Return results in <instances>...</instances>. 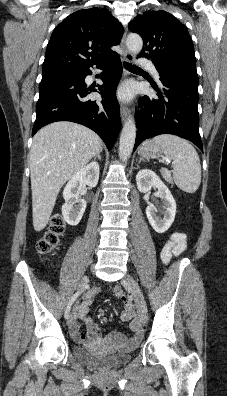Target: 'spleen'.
<instances>
[{
    "mask_svg": "<svg viewBox=\"0 0 227 396\" xmlns=\"http://www.w3.org/2000/svg\"><path fill=\"white\" fill-rule=\"evenodd\" d=\"M152 142L172 160L173 179L178 188L194 193L201 183V165L195 148L188 141L170 134L156 136Z\"/></svg>",
    "mask_w": 227,
    "mask_h": 396,
    "instance_id": "3e777b00",
    "label": "spleen"
}]
</instances>
